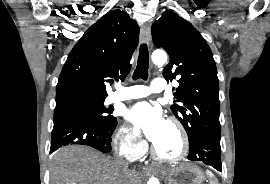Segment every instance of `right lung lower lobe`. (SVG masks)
<instances>
[{"mask_svg":"<svg viewBox=\"0 0 270 184\" xmlns=\"http://www.w3.org/2000/svg\"><path fill=\"white\" fill-rule=\"evenodd\" d=\"M116 126L117 123L109 129L104 128L77 112L54 114L50 154L68 144L87 145L107 153L112 149L111 136Z\"/></svg>","mask_w":270,"mask_h":184,"instance_id":"98d812e1","label":"right lung lower lobe"}]
</instances>
